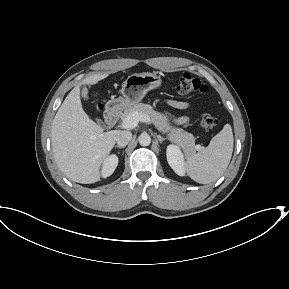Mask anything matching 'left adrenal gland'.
Here are the masks:
<instances>
[{
    "label": "left adrenal gland",
    "instance_id": "1",
    "mask_svg": "<svg viewBox=\"0 0 289 289\" xmlns=\"http://www.w3.org/2000/svg\"><path fill=\"white\" fill-rule=\"evenodd\" d=\"M156 137L160 143H162L163 141L167 139V138L162 137L161 135H156Z\"/></svg>",
    "mask_w": 289,
    "mask_h": 289
}]
</instances>
